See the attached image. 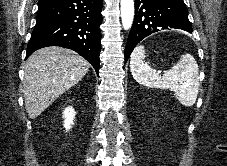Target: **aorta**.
Instances as JSON below:
<instances>
[{
    "mask_svg": "<svg viewBox=\"0 0 227 166\" xmlns=\"http://www.w3.org/2000/svg\"><path fill=\"white\" fill-rule=\"evenodd\" d=\"M121 19L125 30H128L134 19V0H121Z\"/></svg>",
    "mask_w": 227,
    "mask_h": 166,
    "instance_id": "1",
    "label": "aorta"
}]
</instances>
